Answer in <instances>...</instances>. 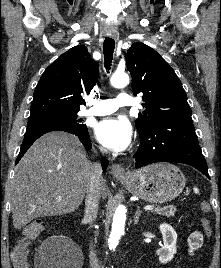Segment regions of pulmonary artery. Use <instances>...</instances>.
I'll list each match as a JSON object with an SVG mask.
<instances>
[{
    "mask_svg": "<svg viewBox=\"0 0 221 268\" xmlns=\"http://www.w3.org/2000/svg\"><path fill=\"white\" fill-rule=\"evenodd\" d=\"M134 101L126 93H120L114 99L100 100L95 105L83 112L84 115L103 116L115 112L121 106H132Z\"/></svg>",
    "mask_w": 221,
    "mask_h": 268,
    "instance_id": "e3ab8cb5",
    "label": "pulmonary artery"
}]
</instances>
